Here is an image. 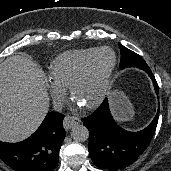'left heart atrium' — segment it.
<instances>
[{"label":"left heart atrium","instance_id":"left-heart-atrium-1","mask_svg":"<svg viewBox=\"0 0 171 171\" xmlns=\"http://www.w3.org/2000/svg\"><path fill=\"white\" fill-rule=\"evenodd\" d=\"M73 105H74L75 108H79V107L82 106V105H81L78 101H76L75 99H74V101H73Z\"/></svg>","mask_w":171,"mask_h":171}]
</instances>
